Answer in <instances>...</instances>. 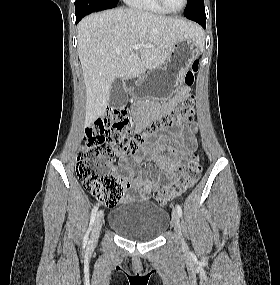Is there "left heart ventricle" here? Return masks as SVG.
<instances>
[{"label":"left heart ventricle","instance_id":"obj_1","mask_svg":"<svg viewBox=\"0 0 280 285\" xmlns=\"http://www.w3.org/2000/svg\"><path fill=\"white\" fill-rule=\"evenodd\" d=\"M166 6L171 10H178L183 5V0H164Z\"/></svg>","mask_w":280,"mask_h":285}]
</instances>
